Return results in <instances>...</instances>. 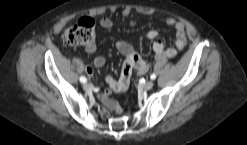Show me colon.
Returning a JSON list of instances; mask_svg holds the SVG:
<instances>
[{
	"instance_id": "colon-1",
	"label": "colon",
	"mask_w": 247,
	"mask_h": 145,
	"mask_svg": "<svg viewBox=\"0 0 247 145\" xmlns=\"http://www.w3.org/2000/svg\"><path fill=\"white\" fill-rule=\"evenodd\" d=\"M63 39L70 46H88L92 44L95 39V23L93 19L89 17L81 18L64 31ZM132 63L138 64L137 56H134L131 61L123 63L121 74L124 80L131 76Z\"/></svg>"
}]
</instances>
